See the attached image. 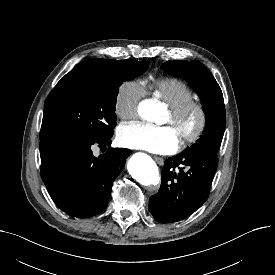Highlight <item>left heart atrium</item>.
Listing matches in <instances>:
<instances>
[{"label": "left heart atrium", "instance_id": "obj_1", "mask_svg": "<svg viewBox=\"0 0 275 275\" xmlns=\"http://www.w3.org/2000/svg\"><path fill=\"white\" fill-rule=\"evenodd\" d=\"M117 140L121 146L143 149L154 153H172L179 139L170 126H156L145 122H130L118 128Z\"/></svg>", "mask_w": 275, "mask_h": 275}]
</instances>
